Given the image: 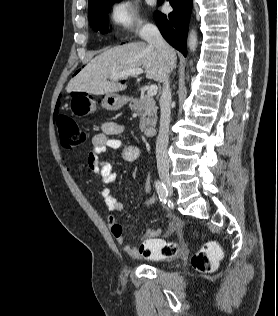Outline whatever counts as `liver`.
I'll return each mask as SVG.
<instances>
[{
  "label": "liver",
  "instance_id": "6515ba94",
  "mask_svg": "<svg viewBox=\"0 0 278 316\" xmlns=\"http://www.w3.org/2000/svg\"><path fill=\"white\" fill-rule=\"evenodd\" d=\"M176 53L171 49L166 63L155 46L145 42H133L111 48L92 59L73 77L67 85V92H86L88 94H114L127 88L120 79L107 78L122 71L143 66L147 79L163 82L167 74L176 67ZM122 79V78H121Z\"/></svg>",
  "mask_w": 278,
  "mask_h": 316
}]
</instances>
